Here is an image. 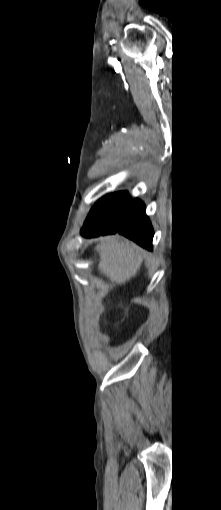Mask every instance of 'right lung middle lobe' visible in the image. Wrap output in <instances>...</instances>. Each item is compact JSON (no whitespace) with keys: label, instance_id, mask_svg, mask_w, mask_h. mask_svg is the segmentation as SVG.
<instances>
[{"label":"right lung middle lobe","instance_id":"1","mask_svg":"<svg viewBox=\"0 0 221 510\" xmlns=\"http://www.w3.org/2000/svg\"><path fill=\"white\" fill-rule=\"evenodd\" d=\"M129 201L130 196L127 192H118L103 197L92 209L101 216L118 220L125 213Z\"/></svg>","mask_w":221,"mask_h":510}]
</instances>
